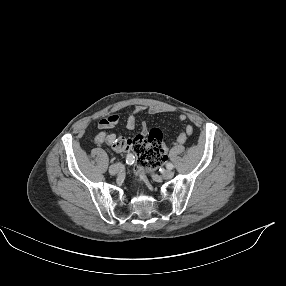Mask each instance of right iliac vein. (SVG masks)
<instances>
[{
	"instance_id": "1",
	"label": "right iliac vein",
	"mask_w": 286,
	"mask_h": 286,
	"mask_svg": "<svg viewBox=\"0 0 286 286\" xmlns=\"http://www.w3.org/2000/svg\"><path fill=\"white\" fill-rule=\"evenodd\" d=\"M122 170H123V165L120 163H117V164L110 166L109 173L111 175H116V174L120 173Z\"/></svg>"
}]
</instances>
